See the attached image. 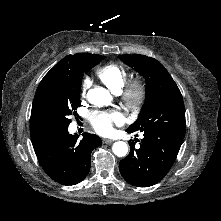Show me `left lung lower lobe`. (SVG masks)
Returning a JSON list of instances; mask_svg holds the SVG:
<instances>
[{"label":"left lung lower lobe","mask_w":221,"mask_h":221,"mask_svg":"<svg viewBox=\"0 0 221 221\" xmlns=\"http://www.w3.org/2000/svg\"><path fill=\"white\" fill-rule=\"evenodd\" d=\"M126 131L135 133L129 129ZM143 135L140 148L135 149V143H130L129 155L119 163L123 178L138 187L152 186L168 173L185 134L182 136L164 131H150L143 132Z\"/></svg>","instance_id":"obj_1"}]
</instances>
